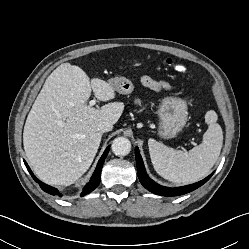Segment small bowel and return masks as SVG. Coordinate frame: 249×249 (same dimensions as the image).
I'll return each instance as SVG.
<instances>
[{
  "mask_svg": "<svg viewBox=\"0 0 249 249\" xmlns=\"http://www.w3.org/2000/svg\"><path fill=\"white\" fill-rule=\"evenodd\" d=\"M142 84L153 90V91H161V90H168L170 89V85L168 82L163 80H156L150 76L144 75L141 77Z\"/></svg>",
  "mask_w": 249,
  "mask_h": 249,
  "instance_id": "c3829d8e",
  "label": "small bowel"
}]
</instances>
